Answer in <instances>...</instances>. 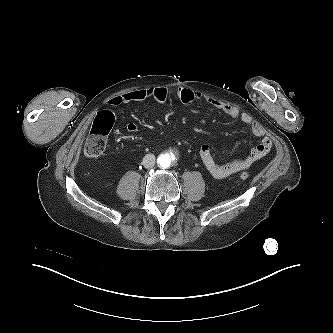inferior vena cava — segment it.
<instances>
[{
	"mask_svg": "<svg viewBox=\"0 0 333 333\" xmlns=\"http://www.w3.org/2000/svg\"><path fill=\"white\" fill-rule=\"evenodd\" d=\"M155 156L154 154H146L142 160V165L145 168H152L155 165Z\"/></svg>",
	"mask_w": 333,
	"mask_h": 333,
	"instance_id": "1",
	"label": "inferior vena cava"
}]
</instances>
